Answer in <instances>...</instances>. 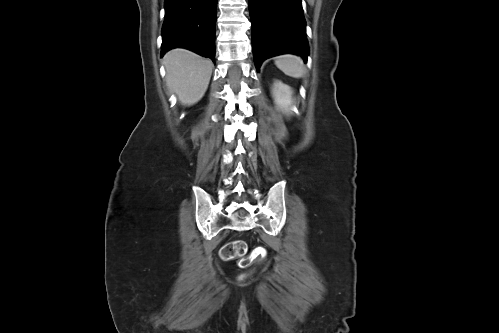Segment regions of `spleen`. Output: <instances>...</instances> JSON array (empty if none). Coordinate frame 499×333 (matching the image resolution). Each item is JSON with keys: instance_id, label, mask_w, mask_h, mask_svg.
Returning a JSON list of instances; mask_svg holds the SVG:
<instances>
[{"instance_id": "3e777b00", "label": "spleen", "mask_w": 499, "mask_h": 333, "mask_svg": "<svg viewBox=\"0 0 499 333\" xmlns=\"http://www.w3.org/2000/svg\"><path fill=\"white\" fill-rule=\"evenodd\" d=\"M275 65L290 77L301 78L305 73L302 59L295 55L279 56L275 59Z\"/></svg>"}]
</instances>
